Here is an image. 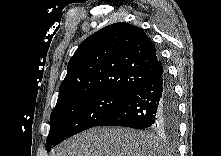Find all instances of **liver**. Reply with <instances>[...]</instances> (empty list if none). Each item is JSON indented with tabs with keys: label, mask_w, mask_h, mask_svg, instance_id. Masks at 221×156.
Wrapping results in <instances>:
<instances>
[{
	"label": "liver",
	"mask_w": 221,
	"mask_h": 156,
	"mask_svg": "<svg viewBox=\"0 0 221 156\" xmlns=\"http://www.w3.org/2000/svg\"><path fill=\"white\" fill-rule=\"evenodd\" d=\"M165 145L146 131L95 127L61 143L51 156H162Z\"/></svg>",
	"instance_id": "liver-1"
}]
</instances>
